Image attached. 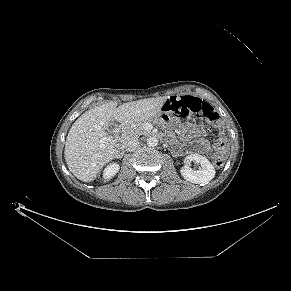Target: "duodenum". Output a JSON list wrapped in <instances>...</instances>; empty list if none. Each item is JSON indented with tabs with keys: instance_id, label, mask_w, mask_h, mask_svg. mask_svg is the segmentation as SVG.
<instances>
[{
	"instance_id": "duodenum-1",
	"label": "duodenum",
	"mask_w": 291,
	"mask_h": 291,
	"mask_svg": "<svg viewBox=\"0 0 291 291\" xmlns=\"http://www.w3.org/2000/svg\"><path fill=\"white\" fill-rule=\"evenodd\" d=\"M125 142L124 141H120L117 147V156H121L122 152H123V148H124Z\"/></svg>"
}]
</instances>
